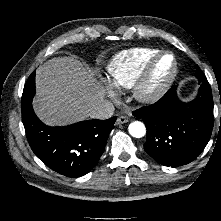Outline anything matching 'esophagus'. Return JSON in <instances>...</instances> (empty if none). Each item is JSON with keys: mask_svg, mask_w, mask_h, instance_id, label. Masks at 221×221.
I'll return each mask as SVG.
<instances>
[{"mask_svg": "<svg viewBox=\"0 0 221 221\" xmlns=\"http://www.w3.org/2000/svg\"><path fill=\"white\" fill-rule=\"evenodd\" d=\"M128 121H129L128 117H126V116H119V117L117 118L116 123H117V124H124V123H126V122H128Z\"/></svg>", "mask_w": 221, "mask_h": 221, "instance_id": "34e87169", "label": "esophagus"}]
</instances>
